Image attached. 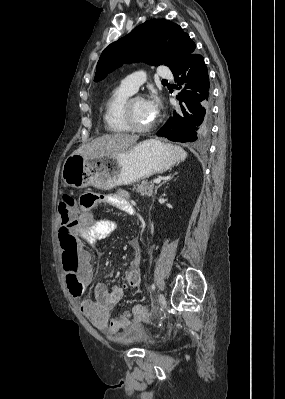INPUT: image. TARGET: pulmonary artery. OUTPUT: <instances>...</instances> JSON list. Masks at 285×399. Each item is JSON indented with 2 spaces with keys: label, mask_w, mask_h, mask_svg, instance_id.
<instances>
[{
  "label": "pulmonary artery",
  "mask_w": 285,
  "mask_h": 399,
  "mask_svg": "<svg viewBox=\"0 0 285 399\" xmlns=\"http://www.w3.org/2000/svg\"><path fill=\"white\" fill-rule=\"evenodd\" d=\"M158 76L160 78H165V79H171L172 78V73L170 70L165 67V66H160L158 70ZM145 80V76L140 74V73H133L130 75H127L124 77L120 85L130 91L131 93H134L138 90L139 86L143 83Z\"/></svg>",
  "instance_id": "1"
}]
</instances>
